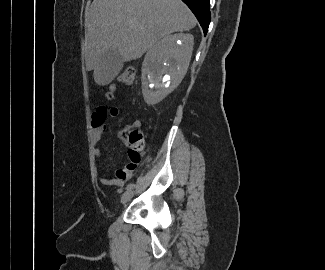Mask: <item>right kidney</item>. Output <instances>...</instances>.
<instances>
[{
  "label": "right kidney",
  "instance_id": "ca27d5eb",
  "mask_svg": "<svg viewBox=\"0 0 325 270\" xmlns=\"http://www.w3.org/2000/svg\"><path fill=\"white\" fill-rule=\"evenodd\" d=\"M193 41L191 34H174L147 52L142 70V93L147 104L159 103L181 83L191 60Z\"/></svg>",
  "mask_w": 325,
  "mask_h": 270
}]
</instances>
